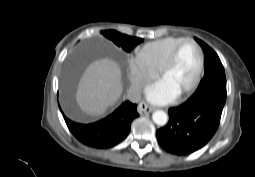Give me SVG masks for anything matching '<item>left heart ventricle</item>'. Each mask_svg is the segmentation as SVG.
Returning a JSON list of instances; mask_svg holds the SVG:
<instances>
[{
  "instance_id": "1",
  "label": "left heart ventricle",
  "mask_w": 255,
  "mask_h": 177,
  "mask_svg": "<svg viewBox=\"0 0 255 177\" xmlns=\"http://www.w3.org/2000/svg\"><path fill=\"white\" fill-rule=\"evenodd\" d=\"M198 67V50L193 44H185L178 53L175 65L165 74L163 79L179 93L192 83Z\"/></svg>"
}]
</instances>
